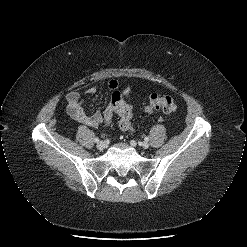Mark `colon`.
Returning a JSON list of instances; mask_svg holds the SVG:
<instances>
[{"label": "colon", "instance_id": "obj_1", "mask_svg": "<svg viewBox=\"0 0 247 247\" xmlns=\"http://www.w3.org/2000/svg\"><path fill=\"white\" fill-rule=\"evenodd\" d=\"M176 101L171 96H161L152 94L146 107L147 112L151 113L161 110L165 113H173L177 110ZM114 114L119 116V127L123 131L131 130L132 107L127 104L119 91H114L109 105L104 112V121L108 125Z\"/></svg>", "mask_w": 247, "mask_h": 247}]
</instances>
